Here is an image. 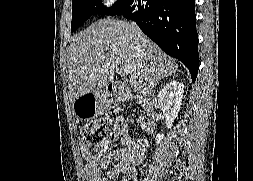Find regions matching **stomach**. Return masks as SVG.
<instances>
[{"instance_id": "1", "label": "stomach", "mask_w": 253, "mask_h": 181, "mask_svg": "<svg viewBox=\"0 0 253 181\" xmlns=\"http://www.w3.org/2000/svg\"><path fill=\"white\" fill-rule=\"evenodd\" d=\"M109 102V94L106 91L94 90L74 101V113L80 119L95 118L104 113Z\"/></svg>"}]
</instances>
